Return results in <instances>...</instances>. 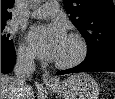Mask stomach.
<instances>
[{"label":"stomach","instance_id":"stomach-1","mask_svg":"<svg viewBox=\"0 0 115 99\" xmlns=\"http://www.w3.org/2000/svg\"><path fill=\"white\" fill-rule=\"evenodd\" d=\"M49 87L64 99H98L100 92L96 80L85 73L72 75Z\"/></svg>","mask_w":115,"mask_h":99}]
</instances>
